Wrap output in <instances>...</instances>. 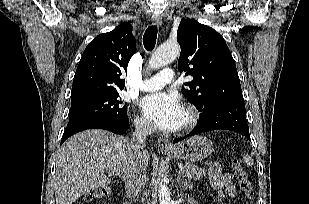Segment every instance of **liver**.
<instances>
[{
    "label": "liver",
    "instance_id": "liver-1",
    "mask_svg": "<svg viewBox=\"0 0 309 204\" xmlns=\"http://www.w3.org/2000/svg\"><path fill=\"white\" fill-rule=\"evenodd\" d=\"M146 159L148 165V152ZM133 162V150L126 137L100 129L72 136L56 154V204H72L82 195L109 185L111 180L105 171L125 178Z\"/></svg>",
    "mask_w": 309,
    "mask_h": 204
}]
</instances>
